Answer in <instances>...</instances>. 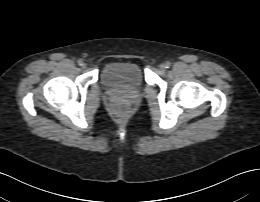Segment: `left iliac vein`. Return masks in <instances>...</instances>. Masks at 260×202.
<instances>
[{
	"label": "left iliac vein",
	"instance_id": "1",
	"mask_svg": "<svg viewBox=\"0 0 260 202\" xmlns=\"http://www.w3.org/2000/svg\"><path fill=\"white\" fill-rule=\"evenodd\" d=\"M165 69H166V68H165V65H164V64H160V65H159V70H160V71H165Z\"/></svg>",
	"mask_w": 260,
	"mask_h": 202
}]
</instances>
